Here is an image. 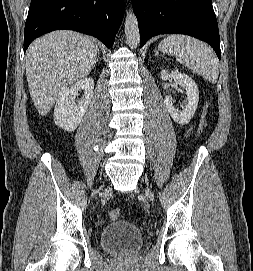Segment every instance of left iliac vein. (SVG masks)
Here are the masks:
<instances>
[{
	"mask_svg": "<svg viewBox=\"0 0 253 271\" xmlns=\"http://www.w3.org/2000/svg\"><path fill=\"white\" fill-rule=\"evenodd\" d=\"M145 196H146V198L148 200H151L153 198V194H152V192L150 191L149 188H146V190H145Z\"/></svg>",
	"mask_w": 253,
	"mask_h": 271,
	"instance_id": "1",
	"label": "left iliac vein"
}]
</instances>
